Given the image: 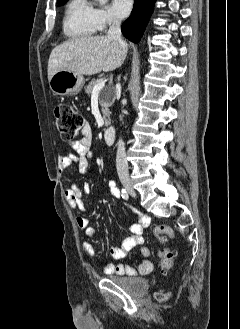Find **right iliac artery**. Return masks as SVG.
I'll list each match as a JSON object with an SVG mask.
<instances>
[{
	"label": "right iliac artery",
	"instance_id": "right-iliac-artery-1",
	"mask_svg": "<svg viewBox=\"0 0 240 329\" xmlns=\"http://www.w3.org/2000/svg\"><path fill=\"white\" fill-rule=\"evenodd\" d=\"M121 196L125 200H127L128 197H129L127 191L125 189H123V188L121 189Z\"/></svg>",
	"mask_w": 240,
	"mask_h": 329
}]
</instances>
